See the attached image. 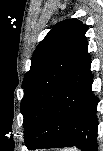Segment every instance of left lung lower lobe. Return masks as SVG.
Returning <instances> with one entry per match:
<instances>
[{
    "instance_id": "0a47b994",
    "label": "left lung lower lobe",
    "mask_w": 103,
    "mask_h": 151,
    "mask_svg": "<svg viewBox=\"0 0 103 151\" xmlns=\"http://www.w3.org/2000/svg\"><path fill=\"white\" fill-rule=\"evenodd\" d=\"M85 35L31 81L24 114L29 149L76 146L97 151V104Z\"/></svg>"
}]
</instances>
